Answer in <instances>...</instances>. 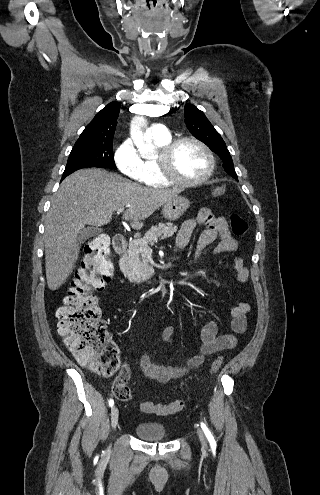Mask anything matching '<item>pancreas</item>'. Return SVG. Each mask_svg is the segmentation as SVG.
<instances>
[{
  "label": "pancreas",
  "mask_w": 320,
  "mask_h": 495,
  "mask_svg": "<svg viewBox=\"0 0 320 495\" xmlns=\"http://www.w3.org/2000/svg\"><path fill=\"white\" fill-rule=\"evenodd\" d=\"M178 227L173 223H159L151 227L141 239L129 241L126 253L120 259V269L132 283H141L144 280V271L149 267L146 258V249H150L158 239H165L172 236Z\"/></svg>",
  "instance_id": "obj_1"
}]
</instances>
